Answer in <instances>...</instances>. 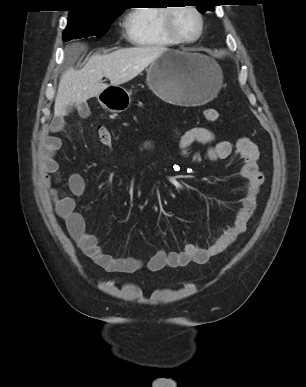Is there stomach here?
Listing matches in <instances>:
<instances>
[{"label": "stomach", "mask_w": 306, "mask_h": 387, "mask_svg": "<svg viewBox=\"0 0 306 387\" xmlns=\"http://www.w3.org/2000/svg\"><path fill=\"white\" fill-rule=\"evenodd\" d=\"M219 65L200 53L167 50L147 69L150 89L171 108L199 106L213 99L222 86ZM104 109L122 112L130 105V94L121 86H109L98 96Z\"/></svg>", "instance_id": "stomach-1"}]
</instances>
